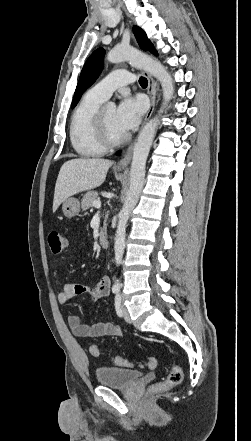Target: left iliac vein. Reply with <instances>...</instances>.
Segmentation results:
<instances>
[{
	"mask_svg": "<svg viewBox=\"0 0 251 441\" xmlns=\"http://www.w3.org/2000/svg\"><path fill=\"white\" fill-rule=\"evenodd\" d=\"M122 312H123V317H124V319H125L127 322H130V321H131V319H130V315H129V313H128L127 308H126L124 305H122Z\"/></svg>",
	"mask_w": 251,
	"mask_h": 441,
	"instance_id": "left-iliac-vein-1",
	"label": "left iliac vein"
}]
</instances>
